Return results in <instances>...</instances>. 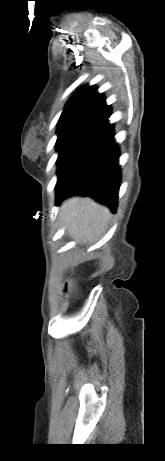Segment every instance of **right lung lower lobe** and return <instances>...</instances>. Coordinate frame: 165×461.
Segmentation results:
<instances>
[{
  "label": "right lung lower lobe",
  "instance_id": "98d812e1",
  "mask_svg": "<svg viewBox=\"0 0 165 461\" xmlns=\"http://www.w3.org/2000/svg\"><path fill=\"white\" fill-rule=\"evenodd\" d=\"M119 149L107 124L58 177L56 205L71 195H85L116 210L121 181Z\"/></svg>",
  "mask_w": 165,
  "mask_h": 461
}]
</instances>
